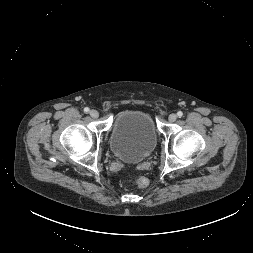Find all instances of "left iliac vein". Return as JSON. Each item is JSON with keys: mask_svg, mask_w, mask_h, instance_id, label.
Here are the masks:
<instances>
[{"mask_svg": "<svg viewBox=\"0 0 253 253\" xmlns=\"http://www.w3.org/2000/svg\"><path fill=\"white\" fill-rule=\"evenodd\" d=\"M176 119H177V115L174 114V113H173V114H170L169 117H168V120H169L170 122H175Z\"/></svg>", "mask_w": 253, "mask_h": 253, "instance_id": "1", "label": "left iliac vein"}]
</instances>
